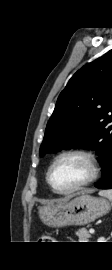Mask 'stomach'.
Returning <instances> with one entry per match:
<instances>
[{
  "instance_id": "1",
  "label": "stomach",
  "mask_w": 112,
  "mask_h": 270,
  "mask_svg": "<svg viewBox=\"0 0 112 270\" xmlns=\"http://www.w3.org/2000/svg\"><path fill=\"white\" fill-rule=\"evenodd\" d=\"M110 209L111 205L106 199L83 194L68 202L39 207L38 214L43 223L50 227L83 226L107 214Z\"/></svg>"
}]
</instances>
